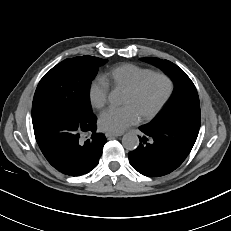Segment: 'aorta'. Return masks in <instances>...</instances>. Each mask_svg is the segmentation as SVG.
<instances>
[{
	"label": "aorta",
	"mask_w": 231,
	"mask_h": 231,
	"mask_svg": "<svg viewBox=\"0 0 231 231\" xmlns=\"http://www.w3.org/2000/svg\"><path fill=\"white\" fill-rule=\"evenodd\" d=\"M109 102L112 105H118L120 103V98L118 97L116 92H112L109 95ZM122 144L127 150H134L139 145V138L134 133H126L122 138Z\"/></svg>",
	"instance_id": "aorta-1"
}]
</instances>
